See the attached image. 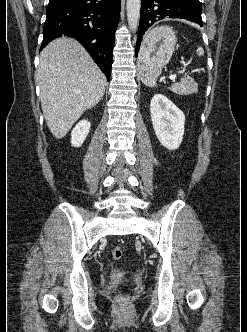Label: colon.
Returning a JSON list of instances; mask_svg holds the SVG:
<instances>
[{"instance_id":"obj_1","label":"colon","mask_w":247,"mask_h":332,"mask_svg":"<svg viewBox=\"0 0 247 332\" xmlns=\"http://www.w3.org/2000/svg\"><path fill=\"white\" fill-rule=\"evenodd\" d=\"M112 255L115 259L119 260L123 257L124 251L121 247L116 246L112 249ZM118 301L121 303H126L128 301L127 295H124V294L119 295Z\"/></svg>"}]
</instances>
